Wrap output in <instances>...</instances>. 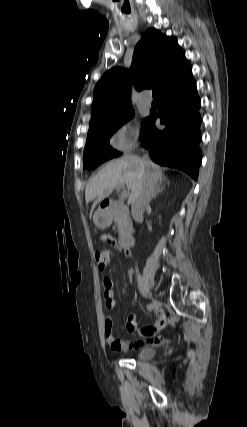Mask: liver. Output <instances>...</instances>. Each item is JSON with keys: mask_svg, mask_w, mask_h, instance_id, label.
Returning a JSON list of instances; mask_svg holds the SVG:
<instances>
[{"mask_svg": "<svg viewBox=\"0 0 247 427\" xmlns=\"http://www.w3.org/2000/svg\"><path fill=\"white\" fill-rule=\"evenodd\" d=\"M148 170L161 182L164 178L161 168L150 162ZM146 167L143 160L134 155L113 160L106 164L99 173L87 184L85 188V200L88 204L96 198L103 199L117 187L127 185L131 191L130 200L133 201L140 191Z\"/></svg>", "mask_w": 247, "mask_h": 427, "instance_id": "6515ba94", "label": "liver"}]
</instances>
